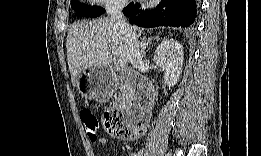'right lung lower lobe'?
Masks as SVG:
<instances>
[{
  "label": "right lung lower lobe",
  "instance_id": "98d812e1",
  "mask_svg": "<svg viewBox=\"0 0 261 156\" xmlns=\"http://www.w3.org/2000/svg\"><path fill=\"white\" fill-rule=\"evenodd\" d=\"M195 0H161L151 9L131 2L123 9L129 21L141 27L173 26L187 28L194 23L197 13Z\"/></svg>",
  "mask_w": 261,
  "mask_h": 156
}]
</instances>
